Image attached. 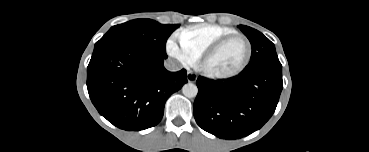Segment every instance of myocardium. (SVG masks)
Masks as SVG:
<instances>
[{
  "instance_id": "f54148a6",
  "label": "myocardium",
  "mask_w": 369,
  "mask_h": 152,
  "mask_svg": "<svg viewBox=\"0 0 369 152\" xmlns=\"http://www.w3.org/2000/svg\"><path fill=\"white\" fill-rule=\"evenodd\" d=\"M233 39H242L246 44V56L240 66L236 68L235 70L229 72V73H216L211 70H209L206 66L207 62L229 41ZM252 55V45L249 41V39L240 33H233L230 35H226L216 42H214L212 45H210L200 56L197 68L198 70L205 75L206 77L213 79V80H227L236 77L239 75L249 64L250 59Z\"/></svg>"
}]
</instances>
